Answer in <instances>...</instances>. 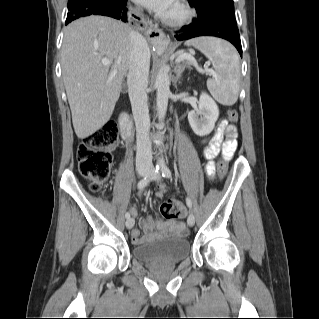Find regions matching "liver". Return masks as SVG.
Here are the masks:
<instances>
[{"instance_id":"liver-1","label":"liver","mask_w":319,"mask_h":319,"mask_svg":"<svg viewBox=\"0 0 319 319\" xmlns=\"http://www.w3.org/2000/svg\"><path fill=\"white\" fill-rule=\"evenodd\" d=\"M131 31L120 21L95 15L72 22L64 31L62 77L80 139L101 129L113 113L129 67ZM102 58L114 64L103 65Z\"/></svg>"}]
</instances>
